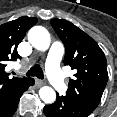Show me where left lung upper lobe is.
I'll return each instance as SVG.
<instances>
[{"mask_svg":"<svg viewBox=\"0 0 117 117\" xmlns=\"http://www.w3.org/2000/svg\"><path fill=\"white\" fill-rule=\"evenodd\" d=\"M50 22L65 45V65L76 71L66 95L93 112L108 80L106 57L98 44L73 23L64 19Z\"/></svg>","mask_w":117,"mask_h":117,"instance_id":"left-lung-upper-lobe-1","label":"left lung upper lobe"}]
</instances>
